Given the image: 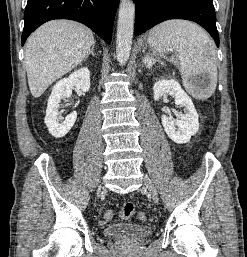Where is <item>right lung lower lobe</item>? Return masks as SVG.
<instances>
[{"label": "right lung lower lobe", "instance_id": "98d812e1", "mask_svg": "<svg viewBox=\"0 0 247 257\" xmlns=\"http://www.w3.org/2000/svg\"><path fill=\"white\" fill-rule=\"evenodd\" d=\"M116 9L117 0H28L22 46L36 28L53 19L81 22L110 44Z\"/></svg>", "mask_w": 247, "mask_h": 257}]
</instances>
